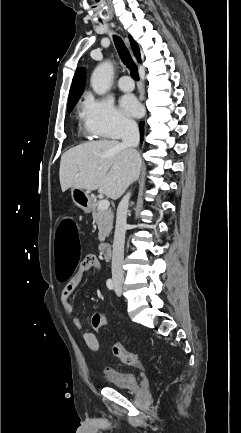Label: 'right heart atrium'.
Wrapping results in <instances>:
<instances>
[{
	"mask_svg": "<svg viewBox=\"0 0 241 433\" xmlns=\"http://www.w3.org/2000/svg\"><path fill=\"white\" fill-rule=\"evenodd\" d=\"M81 115L85 130L92 137L116 138L135 130V123L110 99L87 95L81 105Z\"/></svg>",
	"mask_w": 241,
	"mask_h": 433,
	"instance_id": "right-heart-atrium-1",
	"label": "right heart atrium"
}]
</instances>
